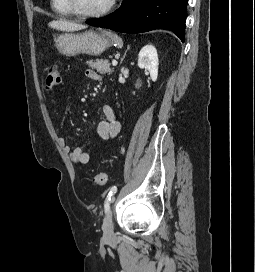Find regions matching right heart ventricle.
<instances>
[{
  "instance_id": "right-heart-ventricle-1",
  "label": "right heart ventricle",
  "mask_w": 255,
  "mask_h": 272,
  "mask_svg": "<svg viewBox=\"0 0 255 272\" xmlns=\"http://www.w3.org/2000/svg\"><path fill=\"white\" fill-rule=\"evenodd\" d=\"M51 8L56 14L60 16L67 17L72 15L66 7L64 0H51Z\"/></svg>"
}]
</instances>
